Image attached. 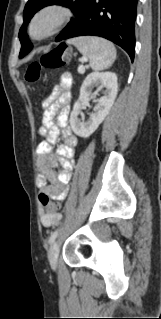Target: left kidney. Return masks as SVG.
<instances>
[{"mask_svg":"<svg viewBox=\"0 0 161 319\" xmlns=\"http://www.w3.org/2000/svg\"><path fill=\"white\" fill-rule=\"evenodd\" d=\"M105 88L104 96L96 101L94 112L85 121L78 116L81 114L83 101L91 95L93 87ZM118 92L117 75L112 72H93L87 75L80 88L78 101L74 104L70 115V125L73 132L82 137H89L103 122L115 101Z\"/></svg>","mask_w":161,"mask_h":319,"instance_id":"obj_1","label":"left kidney"}]
</instances>
